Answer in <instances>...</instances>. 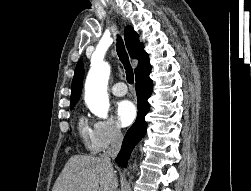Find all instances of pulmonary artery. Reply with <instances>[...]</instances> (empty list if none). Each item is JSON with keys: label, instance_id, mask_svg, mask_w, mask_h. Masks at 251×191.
Wrapping results in <instances>:
<instances>
[{"label": "pulmonary artery", "instance_id": "1", "mask_svg": "<svg viewBox=\"0 0 251 191\" xmlns=\"http://www.w3.org/2000/svg\"><path fill=\"white\" fill-rule=\"evenodd\" d=\"M127 90V85L123 82L115 83L111 88L112 93L116 96L125 95L127 93Z\"/></svg>", "mask_w": 251, "mask_h": 191}]
</instances>
